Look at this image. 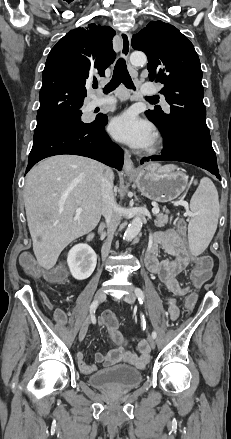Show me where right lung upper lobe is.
<instances>
[{
  "instance_id": "1",
  "label": "right lung upper lobe",
  "mask_w": 231,
  "mask_h": 439,
  "mask_svg": "<svg viewBox=\"0 0 231 439\" xmlns=\"http://www.w3.org/2000/svg\"><path fill=\"white\" fill-rule=\"evenodd\" d=\"M111 27L89 24L68 32L51 49L42 75L37 119L80 109L86 82L104 76L115 60Z\"/></svg>"
}]
</instances>
